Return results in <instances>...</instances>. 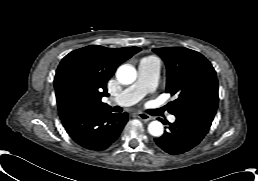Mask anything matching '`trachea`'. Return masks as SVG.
<instances>
[{
  "mask_svg": "<svg viewBox=\"0 0 258 181\" xmlns=\"http://www.w3.org/2000/svg\"><path fill=\"white\" fill-rule=\"evenodd\" d=\"M114 112H122V108L116 106V107L114 108Z\"/></svg>",
  "mask_w": 258,
  "mask_h": 181,
  "instance_id": "obj_1",
  "label": "trachea"
}]
</instances>
